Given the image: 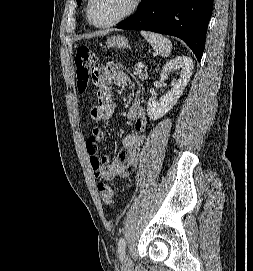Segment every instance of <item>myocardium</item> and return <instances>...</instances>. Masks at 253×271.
<instances>
[{"instance_id":"f54148a6","label":"myocardium","mask_w":253,"mask_h":271,"mask_svg":"<svg viewBox=\"0 0 253 271\" xmlns=\"http://www.w3.org/2000/svg\"><path fill=\"white\" fill-rule=\"evenodd\" d=\"M142 0H132L130 7L128 8V10L126 12H124L122 15H120L118 18L105 23V24H100L97 23L92 15V3L93 0H88L87 3V8H86V13H87V17L89 22L94 25L97 28H109L112 26L117 25L118 23L122 22L123 20L127 19L128 17H130L131 15H133L137 9L139 8L140 4H141Z\"/></svg>"}]
</instances>
